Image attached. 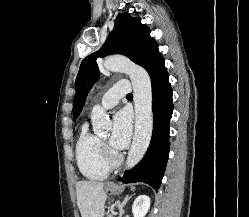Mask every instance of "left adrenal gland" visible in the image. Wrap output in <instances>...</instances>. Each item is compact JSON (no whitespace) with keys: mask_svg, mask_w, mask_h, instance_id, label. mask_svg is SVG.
Instances as JSON below:
<instances>
[{"mask_svg":"<svg viewBox=\"0 0 249 217\" xmlns=\"http://www.w3.org/2000/svg\"><path fill=\"white\" fill-rule=\"evenodd\" d=\"M131 197L132 196L126 195L124 201L122 203L118 204V208H119V216L118 217H122L123 214L125 213V210L123 208L127 204V202L130 200Z\"/></svg>","mask_w":249,"mask_h":217,"instance_id":"obj_1","label":"left adrenal gland"}]
</instances>
